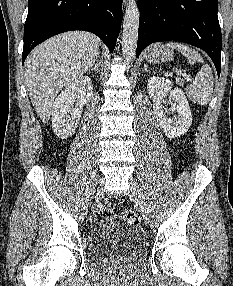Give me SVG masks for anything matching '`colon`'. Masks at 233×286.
I'll use <instances>...</instances> for the list:
<instances>
[{
    "label": "colon",
    "instance_id": "1",
    "mask_svg": "<svg viewBox=\"0 0 233 286\" xmlns=\"http://www.w3.org/2000/svg\"><path fill=\"white\" fill-rule=\"evenodd\" d=\"M100 218L115 217V208L111 203H105L100 208ZM120 219L133 225L139 224V217L129 209H124L120 212Z\"/></svg>",
    "mask_w": 233,
    "mask_h": 286
}]
</instances>
